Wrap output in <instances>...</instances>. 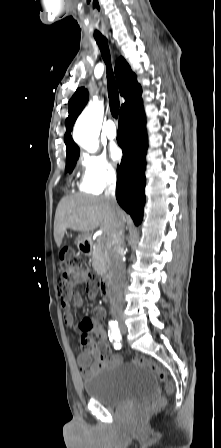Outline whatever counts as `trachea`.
I'll return each instance as SVG.
<instances>
[{
	"instance_id": "1",
	"label": "trachea",
	"mask_w": 221,
	"mask_h": 448,
	"mask_svg": "<svg viewBox=\"0 0 221 448\" xmlns=\"http://www.w3.org/2000/svg\"><path fill=\"white\" fill-rule=\"evenodd\" d=\"M100 50L102 53V57L107 67V85H108V97L109 104L112 116L117 119L119 113V92L117 88V84L114 78L112 66H111V58L110 52L108 48V41L105 37L101 35L94 36Z\"/></svg>"
}]
</instances>
